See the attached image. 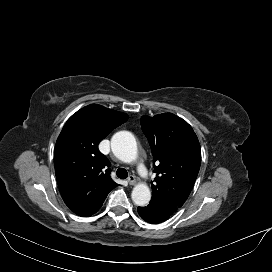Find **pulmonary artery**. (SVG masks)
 <instances>
[{
	"instance_id": "obj_1",
	"label": "pulmonary artery",
	"mask_w": 272,
	"mask_h": 272,
	"mask_svg": "<svg viewBox=\"0 0 272 272\" xmlns=\"http://www.w3.org/2000/svg\"><path fill=\"white\" fill-rule=\"evenodd\" d=\"M140 167H142V164H140ZM140 175L144 177V173L142 172V170H140Z\"/></svg>"
}]
</instances>
